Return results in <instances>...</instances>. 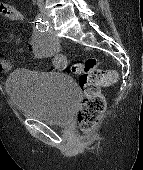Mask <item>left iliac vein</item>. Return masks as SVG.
Returning <instances> with one entry per match:
<instances>
[{"instance_id":"left-iliac-vein-1","label":"left iliac vein","mask_w":143,"mask_h":170,"mask_svg":"<svg viewBox=\"0 0 143 170\" xmlns=\"http://www.w3.org/2000/svg\"><path fill=\"white\" fill-rule=\"evenodd\" d=\"M44 17H45V19H46L48 22H50V18H49V16H48L47 14H44Z\"/></svg>"}]
</instances>
